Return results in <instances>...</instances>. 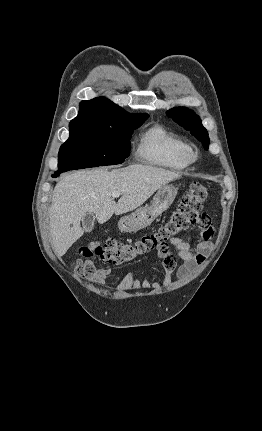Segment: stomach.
Here are the masks:
<instances>
[{
  "label": "stomach",
  "mask_w": 262,
  "mask_h": 431,
  "mask_svg": "<svg viewBox=\"0 0 262 431\" xmlns=\"http://www.w3.org/2000/svg\"><path fill=\"white\" fill-rule=\"evenodd\" d=\"M178 192L174 185H164L161 187L149 205L136 209L126 215L118 222V227L122 232H137L149 225L173 203Z\"/></svg>",
  "instance_id": "stomach-1"
}]
</instances>
